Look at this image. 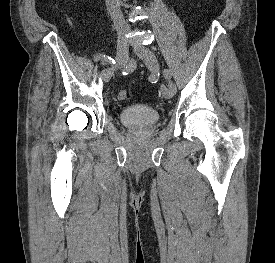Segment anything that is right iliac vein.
Wrapping results in <instances>:
<instances>
[{
    "mask_svg": "<svg viewBox=\"0 0 275 263\" xmlns=\"http://www.w3.org/2000/svg\"><path fill=\"white\" fill-rule=\"evenodd\" d=\"M128 57V45L125 41L119 40L117 43V49H116V55H115V60L117 62L116 65H113L112 67L103 70L101 76L102 79L105 82H108L112 75L114 70L117 68V66L122 65Z\"/></svg>",
    "mask_w": 275,
    "mask_h": 263,
    "instance_id": "1",
    "label": "right iliac vein"
}]
</instances>
